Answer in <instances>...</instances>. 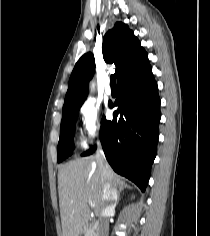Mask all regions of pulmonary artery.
I'll return each mask as SVG.
<instances>
[{
    "label": "pulmonary artery",
    "mask_w": 210,
    "mask_h": 236,
    "mask_svg": "<svg viewBox=\"0 0 210 236\" xmlns=\"http://www.w3.org/2000/svg\"><path fill=\"white\" fill-rule=\"evenodd\" d=\"M105 92H106L107 95H111L112 94V89H111V87L109 85V81H107V83H106Z\"/></svg>",
    "instance_id": "obj_1"
}]
</instances>
